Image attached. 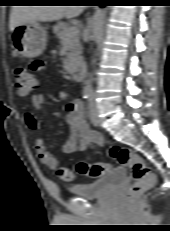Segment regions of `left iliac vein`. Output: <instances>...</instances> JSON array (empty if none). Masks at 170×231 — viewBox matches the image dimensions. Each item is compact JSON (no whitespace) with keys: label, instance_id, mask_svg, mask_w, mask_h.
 <instances>
[{"label":"left iliac vein","instance_id":"left-iliac-vein-1","mask_svg":"<svg viewBox=\"0 0 170 231\" xmlns=\"http://www.w3.org/2000/svg\"><path fill=\"white\" fill-rule=\"evenodd\" d=\"M89 119L91 123L94 126H98L99 120H98V107L95 103L94 96L91 95L90 101H89V111H88Z\"/></svg>","mask_w":170,"mask_h":231}]
</instances>
